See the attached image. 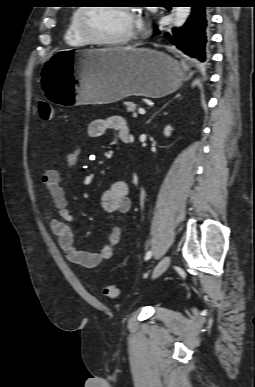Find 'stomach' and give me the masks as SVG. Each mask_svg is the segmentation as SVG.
I'll return each mask as SVG.
<instances>
[{
    "label": "stomach",
    "instance_id": "stomach-1",
    "mask_svg": "<svg viewBox=\"0 0 255 387\" xmlns=\"http://www.w3.org/2000/svg\"><path fill=\"white\" fill-rule=\"evenodd\" d=\"M43 95L59 108H88L130 95L159 98L176 91L183 79L181 65L151 49L59 50L41 72Z\"/></svg>",
    "mask_w": 255,
    "mask_h": 387
}]
</instances>
